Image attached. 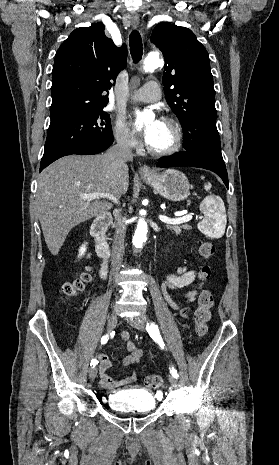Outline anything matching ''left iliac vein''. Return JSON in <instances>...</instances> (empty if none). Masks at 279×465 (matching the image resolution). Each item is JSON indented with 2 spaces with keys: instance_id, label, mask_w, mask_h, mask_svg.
<instances>
[{
  "instance_id": "obj_1",
  "label": "left iliac vein",
  "mask_w": 279,
  "mask_h": 465,
  "mask_svg": "<svg viewBox=\"0 0 279 465\" xmlns=\"http://www.w3.org/2000/svg\"><path fill=\"white\" fill-rule=\"evenodd\" d=\"M127 322L134 328L140 330V331H144L145 330V322L140 318V317H134V318H130L127 320ZM169 382L172 386V388H177L178 386V380L176 377L170 375L169 376Z\"/></svg>"
}]
</instances>
